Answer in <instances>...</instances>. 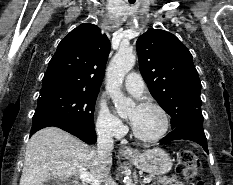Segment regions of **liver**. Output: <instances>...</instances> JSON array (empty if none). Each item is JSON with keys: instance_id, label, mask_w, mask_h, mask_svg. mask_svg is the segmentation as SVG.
Segmentation results:
<instances>
[{"instance_id": "1", "label": "liver", "mask_w": 233, "mask_h": 185, "mask_svg": "<svg viewBox=\"0 0 233 185\" xmlns=\"http://www.w3.org/2000/svg\"><path fill=\"white\" fill-rule=\"evenodd\" d=\"M112 154L100 156L73 135L57 127L39 130L30 138L19 185H43L51 178L65 180L80 168L98 180L110 172Z\"/></svg>"}]
</instances>
